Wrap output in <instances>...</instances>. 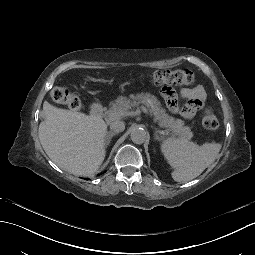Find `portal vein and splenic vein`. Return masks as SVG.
<instances>
[{"mask_svg": "<svg viewBox=\"0 0 255 255\" xmlns=\"http://www.w3.org/2000/svg\"><path fill=\"white\" fill-rule=\"evenodd\" d=\"M138 111H140L144 115H147L149 113V110L145 106H138Z\"/></svg>", "mask_w": 255, "mask_h": 255, "instance_id": "1", "label": "portal vein and splenic vein"}]
</instances>
